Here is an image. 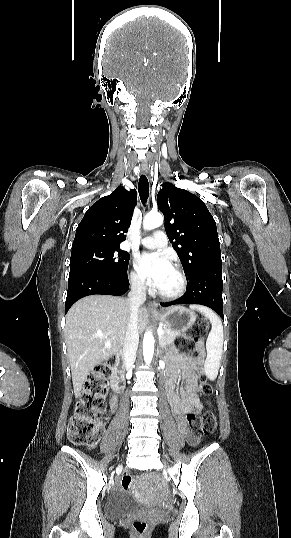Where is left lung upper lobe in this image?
<instances>
[{
	"label": "left lung upper lobe",
	"instance_id": "obj_1",
	"mask_svg": "<svg viewBox=\"0 0 291 538\" xmlns=\"http://www.w3.org/2000/svg\"><path fill=\"white\" fill-rule=\"evenodd\" d=\"M157 204L165 230L189 279L210 266L222 264L216 223L205 203L187 190L164 183Z\"/></svg>",
	"mask_w": 291,
	"mask_h": 538
}]
</instances>
